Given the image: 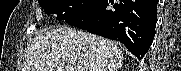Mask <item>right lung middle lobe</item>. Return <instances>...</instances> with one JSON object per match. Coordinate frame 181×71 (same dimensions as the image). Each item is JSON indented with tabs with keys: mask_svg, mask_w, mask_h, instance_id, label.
Returning a JSON list of instances; mask_svg holds the SVG:
<instances>
[{
	"mask_svg": "<svg viewBox=\"0 0 181 71\" xmlns=\"http://www.w3.org/2000/svg\"><path fill=\"white\" fill-rule=\"evenodd\" d=\"M96 0H40L38 3L48 14L65 20L88 9Z\"/></svg>",
	"mask_w": 181,
	"mask_h": 71,
	"instance_id": "obj_1",
	"label": "right lung middle lobe"
}]
</instances>
